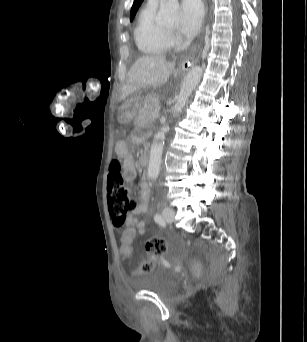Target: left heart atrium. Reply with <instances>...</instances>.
Here are the masks:
<instances>
[{"label": "left heart atrium", "instance_id": "obj_1", "mask_svg": "<svg viewBox=\"0 0 307 342\" xmlns=\"http://www.w3.org/2000/svg\"><path fill=\"white\" fill-rule=\"evenodd\" d=\"M204 17V10L198 1H185L181 5V23L177 29L178 40L190 43L199 32Z\"/></svg>", "mask_w": 307, "mask_h": 342}]
</instances>
